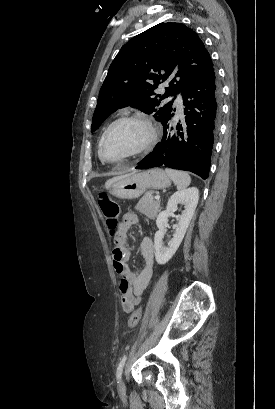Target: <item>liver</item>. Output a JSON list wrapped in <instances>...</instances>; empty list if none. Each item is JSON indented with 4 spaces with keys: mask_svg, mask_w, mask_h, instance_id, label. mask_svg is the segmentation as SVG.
I'll return each mask as SVG.
<instances>
[{
    "mask_svg": "<svg viewBox=\"0 0 275 409\" xmlns=\"http://www.w3.org/2000/svg\"><path fill=\"white\" fill-rule=\"evenodd\" d=\"M133 172H137V170H133ZM133 172H128V174H133ZM128 174H120V176H113V178H109V180L105 182L106 188H108L109 184H111V182H114V180H118V178H123V176H128Z\"/></svg>",
    "mask_w": 275,
    "mask_h": 409,
    "instance_id": "liver-1",
    "label": "liver"
}]
</instances>
